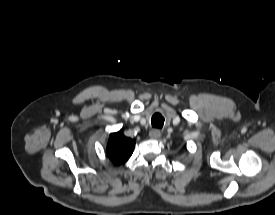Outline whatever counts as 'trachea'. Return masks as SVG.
<instances>
[{
  "label": "trachea",
  "mask_w": 275,
  "mask_h": 215,
  "mask_svg": "<svg viewBox=\"0 0 275 215\" xmlns=\"http://www.w3.org/2000/svg\"><path fill=\"white\" fill-rule=\"evenodd\" d=\"M151 124L154 128H162L164 117L160 113H155L151 118Z\"/></svg>",
  "instance_id": "obj_1"
}]
</instances>
